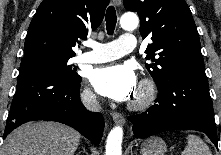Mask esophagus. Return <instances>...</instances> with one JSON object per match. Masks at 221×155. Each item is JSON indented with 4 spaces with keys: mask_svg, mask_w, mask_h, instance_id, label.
Instances as JSON below:
<instances>
[{
    "mask_svg": "<svg viewBox=\"0 0 221 155\" xmlns=\"http://www.w3.org/2000/svg\"><path fill=\"white\" fill-rule=\"evenodd\" d=\"M113 2L118 7L121 5V0H113ZM112 118L116 124H124L125 123L124 116L118 112H114L112 114Z\"/></svg>",
    "mask_w": 221,
    "mask_h": 155,
    "instance_id": "34e87169",
    "label": "esophagus"
}]
</instances>
